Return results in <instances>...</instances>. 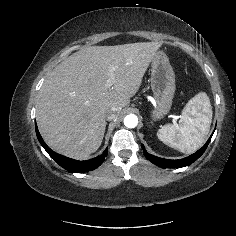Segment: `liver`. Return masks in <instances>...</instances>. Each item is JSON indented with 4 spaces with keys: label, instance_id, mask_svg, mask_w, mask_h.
<instances>
[{
    "label": "liver",
    "instance_id": "6515ba94",
    "mask_svg": "<svg viewBox=\"0 0 236 236\" xmlns=\"http://www.w3.org/2000/svg\"><path fill=\"white\" fill-rule=\"evenodd\" d=\"M161 46L141 42L84 47L58 64L44 81L36 108L48 146L74 159L93 154L104 137L107 111L117 107L119 114L130 103Z\"/></svg>",
    "mask_w": 236,
    "mask_h": 236
}]
</instances>
